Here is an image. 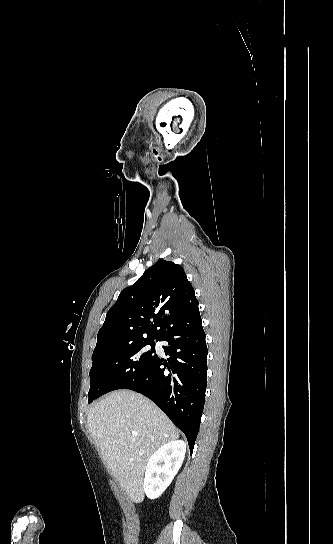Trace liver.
I'll return each mask as SVG.
<instances>
[{"label":"liver","instance_id":"obj_1","mask_svg":"<svg viewBox=\"0 0 333 544\" xmlns=\"http://www.w3.org/2000/svg\"><path fill=\"white\" fill-rule=\"evenodd\" d=\"M87 423L115 480L133 502L142 501L146 462L159 446L177 440L179 431L149 399L129 390L106 395Z\"/></svg>","mask_w":333,"mask_h":544}]
</instances>
